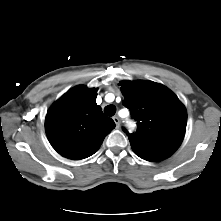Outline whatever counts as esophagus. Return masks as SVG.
Masks as SVG:
<instances>
[{"label":"esophagus","mask_w":221,"mask_h":221,"mask_svg":"<svg viewBox=\"0 0 221 221\" xmlns=\"http://www.w3.org/2000/svg\"><path fill=\"white\" fill-rule=\"evenodd\" d=\"M113 120H114V122L116 124V128H119L120 127V119L117 116H114Z\"/></svg>","instance_id":"esophagus-1"}]
</instances>
